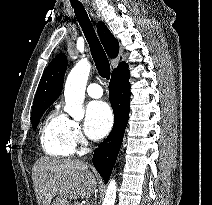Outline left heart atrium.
Returning <instances> with one entry per match:
<instances>
[{
    "label": "left heart atrium",
    "mask_w": 212,
    "mask_h": 205,
    "mask_svg": "<svg viewBox=\"0 0 212 205\" xmlns=\"http://www.w3.org/2000/svg\"><path fill=\"white\" fill-rule=\"evenodd\" d=\"M113 114L109 105L103 101L88 104L85 115V132L93 140L103 138L111 130Z\"/></svg>",
    "instance_id": "left-heart-atrium-1"
}]
</instances>
